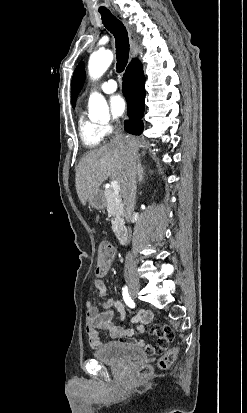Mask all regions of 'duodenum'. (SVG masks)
<instances>
[{"mask_svg": "<svg viewBox=\"0 0 247 413\" xmlns=\"http://www.w3.org/2000/svg\"><path fill=\"white\" fill-rule=\"evenodd\" d=\"M115 236L120 243H124L127 239V230L124 227H119L115 231Z\"/></svg>", "mask_w": 247, "mask_h": 413, "instance_id": "duodenum-1", "label": "duodenum"}]
</instances>
